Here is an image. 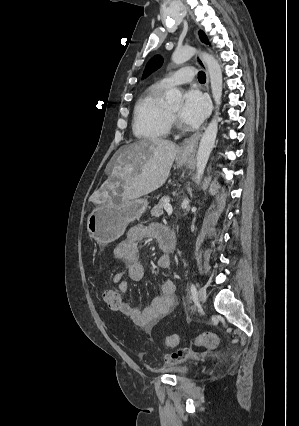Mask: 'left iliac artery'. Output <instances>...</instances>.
I'll use <instances>...</instances> for the list:
<instances>
[{"label": "left iliac artery", "instance_id": "left-iliac-artery-1", "mask_svg": "<svg viewBox=\"0 0 299 426\" xmlns=\"http://www.w3.org/2000/svg\"><path fill=\"white\" fill-rule=\"evenodd\" d=\"M191 295H192V299L195 301L197 299V290L194 284H191Z\"/></svg>", "mask_w": 299, "mask_h": 426}]
</instances>
